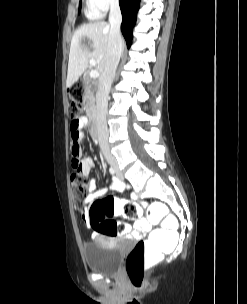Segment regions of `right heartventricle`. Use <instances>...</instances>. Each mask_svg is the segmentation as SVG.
Listing matches in <instances>:
<instances>
[{
  "mask_svg": "<svg viewBox=\"0 0 247 304\" xmlns=\"http://www.w3.org/2000/svg\"><path fill=\"white\" fill-rule=\"evenodd\" d=\"M85 14L89 19L92 20L99 18L101 15L91 0H87L86 2Z\"/></svg>",
  "mask_w": 247,
  "mask_h": 304,
  "instance_id": "right-heart-ventricle-1",
  "label": "right heart ventricle"
}]
</instances>
